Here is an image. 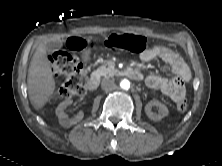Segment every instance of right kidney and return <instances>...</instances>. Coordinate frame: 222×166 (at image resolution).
Returning a JSON list of instances; mask_svg holds the SVG:
<instances>
[{
	"instance_id": "obj_1",
	"label": "right kidney",
	"mask_w": 222,
	"mask_h": 166,
	"mask_svg": "<svg viewBox=\"0 0 222 166\" xmlns=\"http://www.w3.org/2000/svg\"><path fill=\"white\" fill-rule=\"evenodd\" d=\"M70 104H72V100L68 99L61 102L56 108V115L59 119V123L64 127H70L74 124H77L84 117V113L80 111L76 116L69 118L68 115L64 112V109Z\"/></svg>"
}]
</instances>
